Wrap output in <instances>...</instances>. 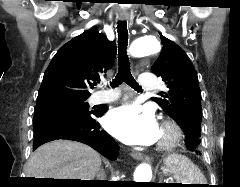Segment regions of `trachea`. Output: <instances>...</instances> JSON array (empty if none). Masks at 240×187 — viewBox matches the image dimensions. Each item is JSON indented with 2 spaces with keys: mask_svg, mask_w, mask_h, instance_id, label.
Returning <instances> with one entry per match:
<instances>
[{
  "mask_svg": "<svg viewBox=\"0 0 240 187\" xmlns=\"http://www.w3.org/2000/svg\"><path fill=\"white\" fill-rule=\"evenodd\" d=\"M118 32V73L113 79L111 86L117 87L122 82H125L129 86H131L136 91H142V88L135 81L134 77L130 72V63L129 58L127 56V45H128V31H127V23L126 21H119L117 25Z\"/></svg>",
  "mask_w": 240,
  "mask_h": 187,
  "instance_id": "trachea-1",
  "label": "trachea"
}]
</instances>
